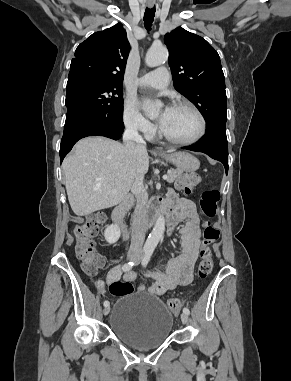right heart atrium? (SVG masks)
I'll list each match as a JSON object with an SVG mask.
<instances>
[{
  "label": "right heart atrium",
  "instance_id": "obj_1",
  "mask_svg": "<svg viewBox=\"0 0 291 381\" xmlns=\"http://www.w3.org/2000/svg\"><path fill=\"white\" fill-rule=\"evenodd\" d=\"M122 119L125 127L135 133L151 137L155 127L141 114L132 100H126L123 106Z\"/></svg>",
  "mask_w": 291,
  "mask_h": 381
}]
</instances>
